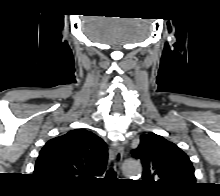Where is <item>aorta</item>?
Segmentation results:
<instances>
[{"instance_id": "1", "label": "aorta", "mask_w": 220, "mask_h": 196, "mask_svg": "<svg viewBox=\"0 0 220 196\" xmlns=\"http://www.w3.org/2000/svg\"><path fill=\"white\" fill-rule=\"evenodd\" d=\"M142 167L137 160H126L123 164V172L127 177L137 176L141 173Z\"/></svg>"}]
</instances>
